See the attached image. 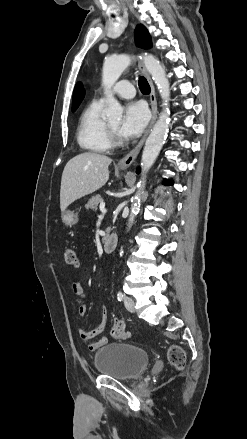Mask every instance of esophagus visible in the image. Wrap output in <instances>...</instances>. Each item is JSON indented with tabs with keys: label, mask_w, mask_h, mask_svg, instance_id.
Masks as SVG:
<instances>
[{
	"label": "esophagus",
	"mask_w": 247,
	"mask_h": 439,
	"mask_svg": "<svg viewBox=\"0 0 247 439\" xmlns=\"http://www.w3.org/2000/svg\"><path fill=\"white\" fill-rule=\"evenodd\" d=\"M139 68H140L141 72L145 75V77L147 78L148 83H149L150 88H151L150 103H151V109H152V119H151V122H150L147 130L145 131L143 137L139 141V143L124 158H122L118 162V167L120 169H127L135 161V159L137 158L140 150L142 149V146H143V144H144V142L146 140V137L148 136L152 126L154 125V123L156 121L157 115H158V107H157V100H156V95H155V87H154V84L152 82V79H151V77H150V75H149L145 65L143 64V62L139 63Z\"/></svg>",
	"instance_id": "1"
}]
</instances>
